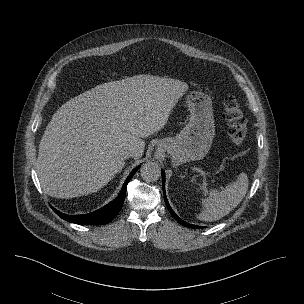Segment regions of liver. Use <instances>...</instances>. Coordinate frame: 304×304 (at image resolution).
<instances>
[{
  "label": "liver",
  "mask_w": 304,
  "mask_h": 304,
  "mask_svg": "<svg viewBox=\"0 0 304 304\" xmlns=\"http://www.w3.org/2000/svg\"><path fill=\"white\" fill-rule=\"evenodd\" d=\"M185 82L153 75L111 81L70 99L52 116L39 144L36 171L44 192L74 198L100 190L160 131Z\"/></svg>",
  "instance_id": "6515ba94"
}]
</instances>
